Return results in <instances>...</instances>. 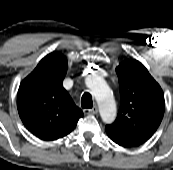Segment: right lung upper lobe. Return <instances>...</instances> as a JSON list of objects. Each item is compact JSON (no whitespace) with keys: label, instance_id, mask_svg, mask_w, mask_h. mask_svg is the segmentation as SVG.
I'll return each instance as SVG.
<instances>
[{"label":"right lung upper lobe","instance_id":"cb5924a9","mask_svg":"<svg viewBox=\"0 0 173 170\" xmlns=\"http://www.w3.org/2000/svg\"><path fill=\"white\" fill-rule=\"evenodd\" d=\"M67 60L58 52L45 56L20 84L19 116L36 137L53 141L69 134L83 113L64 89Z\"/></svg>","mask_w":173,"mask_h":170}]
</instances>
